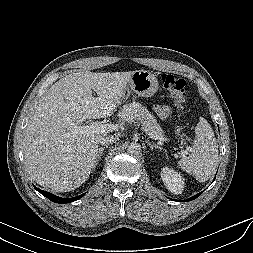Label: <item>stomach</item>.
Returning <instances> with one entry per match:
<instances>
[{
  "instance_id": "obj_1",
  "label": "stomach",
  "mask_w": 253,
  "mask_h": 253,
  "mask_svg": "<svg viewBox=\"0 0 253 253\" xmlns=\"http://www.w3.org/2000/svg\"><path fill=\"white\" fill-rule=\"evenodd\" d=\"M159 88L156 76L147 70H136L127 83L123 99L129 98L134 92L141 97H150L154 95Z\"/></svg>"
}]
</instances>
